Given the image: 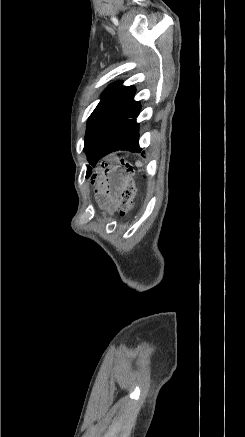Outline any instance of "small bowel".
Returning <instances> with one entry per match:
<instances>
[{
	"instance_id": "1",
	"label": "small bowel",
	"mask_w": 245,
	"mask_h": 437,
	"mask_svg": "<svg viewBox=\"0 0 245 437\" xmlns=\"http://www.w3.org/2000/svg\"><path fill=\"white\" fill-rule=\"evenodd\" d=\"M110 168V162L107 159H104L93 169V171L90 172L89 177L91 180H105ZM116 191L117 187L113 185L110 189V194H114Z\"/></svg>"
}]
</instances>
